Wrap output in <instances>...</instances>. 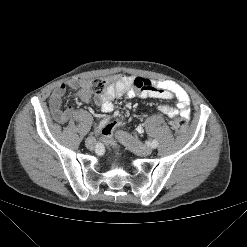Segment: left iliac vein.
<instances>
[{
	"label": "left iliac vein",
	"mask_w": 247,
	"mask_h": 247,
	"mask_svg": "<svg viewBox=\"0 0 247 247\" xmlns=\"http://www.w3.org/2000/svg\"><path fill=\"white\" fill-rule=\"evenodd\" d=\"M117 138L123 145L131 149L137 155L149 156L153 151L151 147L142 144L140 141L134 139L125 132L118 131Z\"/></svg>",
	"instance_id": "4c4485c4"
}]
</instances>
